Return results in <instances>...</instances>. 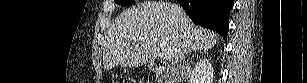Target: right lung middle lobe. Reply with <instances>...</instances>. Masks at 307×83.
Returning a JSON list of instances; mask_svg holds the SVG:
<instances>
[{"instance_id":"right-lung-middle-lobe-1","label":"right lung middle lobe","mask_w":307,"mask_h":83,"mask_svg":"<svg viewBox=\"0 0 307 83\" xmlns=\"http://www.w3.org/2000/svg\"><path fill=\"white\" fill-rule=\"evenodd\" d=\"M115 3L122 6H128L130 4H134V0H115Z\"/></svg>"}]
</instances>
